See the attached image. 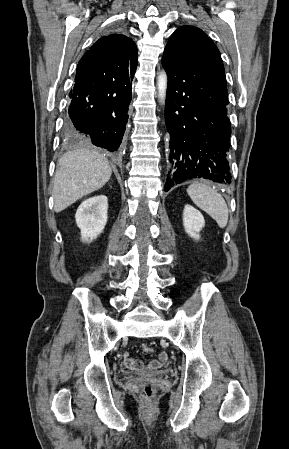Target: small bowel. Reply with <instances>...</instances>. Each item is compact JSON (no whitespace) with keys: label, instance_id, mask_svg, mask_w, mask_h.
I'll use <instances>...</instances> for the list:
<instances>
[{"label":"small bowel","instance_id":"obj_1","mask_svg":"<svg viewBox=\"0 0 289 449\" xmlns=\"http://www.w3.org/2000/svg\"><path fill=\"white\" fill-rule=\"evenodd\" d=\"M159 359H153L147 364H143L140 361L133 359L128 352L124 353L123 365L132 370L149 369L155 370L158 368H164L169 360V355L167 353H162L158 357Z\"/></svg>","mask_w":289,"mask_h":449}]
</instances>
